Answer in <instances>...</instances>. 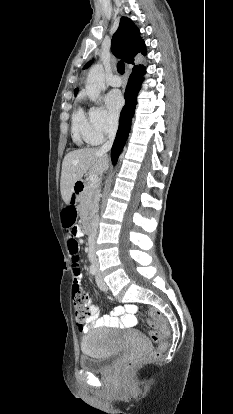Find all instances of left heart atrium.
<instances>
[{"label": "left heart atrium", "mask_w": 233, "mask_h": 414, "mask_svg": "<svg viewBox=\"0 0 233 414\" xmlns=\"http://www.w3.org/2000/svg\"><path fill=\"white\" fill-rule=\"evenodd\" d=\"M106 105L113 115H118L124 105V98L120 91H110L106 96Z\"/></svg>", "instance_id": "39dd6f15"}]
</instances>
